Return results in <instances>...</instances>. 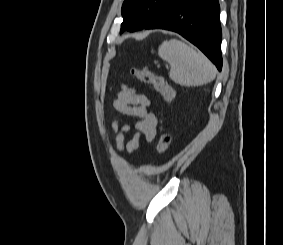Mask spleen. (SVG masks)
I'll return each instance as SVG.
<instances>
[{
  "instance_id": "obj_1",
  "label": "spleen",
  "mask_w": 283,
  "mask_h": 245,
  "mask_svg": "<svg viewBox=\"0 0 283 245\" xmlns=\"http://www.w3.org/2000/svg\"><path fill=\"white\" fill-rule=\"evenodd\" d=\"M158 55L170 64L169 77L181 86H201L216 77V69L209 59L178 39L164 41Z\"/></svg>"
}]
</instances>
